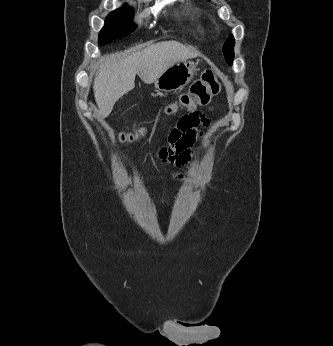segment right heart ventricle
Segmentation results:
<instances>
[{
  "label": "right heart ventricle",
  "mask_w": 333,
  "mask_h": 346,
  "mask_svg": "<svg viewBox=\"0 0 333 346\" xmlns=\"http://www.w3.org/2000/svg\"><path fill=\"white\" fill-rule=\"evenodd\" d=\"M193 22L198 28H203L204 26V20L201 17L195 18Z\"/></svg>",
  "instance_id": "right-heart-ventricle-1"
}]
</instances>
